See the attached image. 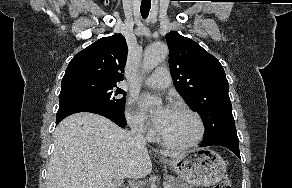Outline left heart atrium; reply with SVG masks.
Wrapping results in <instances>:
<instances>
[{"label": "left heart atrium", "mask_w": 292, "mask_h": 188, "mask_svg": "<svg viewBox=\"0 0 292 188\" xmlns=\"http://www.w3.org/2000/svg\"><path fill=\"white\" fill-rule=\"evenodd\" d=\"M140 105L144 110H147L149 107V97L146 95L142 96V98L140 99ZM169 111L170 109L165 107L154 114L153 119L157 127H159L162 124L163 120L165 119Z\"/></svg>", "instance_id": "1"}]
</instances>
